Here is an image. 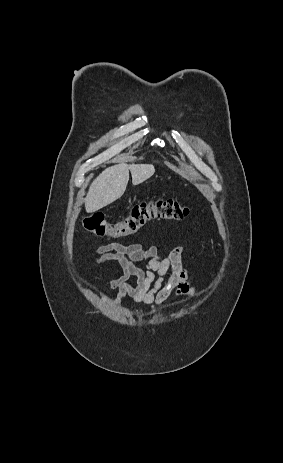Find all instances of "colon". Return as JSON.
<instances>
[{
	"label": "colon",
	"instance_id": "obj_1",
	"mask_svg": "<svg viewBox=\"0 0 283 463\" xmlns=\"http://www.w3.org/2000/svg\"><path fill=\"white\" fill-rule=\"evenodd\" d=\"M189 210L180 202L163 197L144 199L135 204L130 214L110 223L103 215L95 214L84 220V228L97 235L125 238L139 232L152 220H183Z\"/></svg>",
	"mask_w": 283,
	"mask_h": 463
}]
</instances>
